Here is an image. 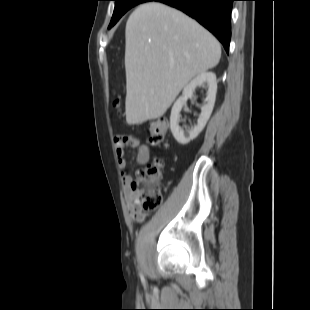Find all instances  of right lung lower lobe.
<instances>
[{
    "instance_id": "1",
    "label": "right lung lower lobe",
    "mask_w": 310,
    "mask_h": 310,
    "mask_svg": "<svg viewBox=\"0 0 310 310\" xmlns=\"http://www.w3.org/2000/svg\"><path fill=\"white\" fill-rule=\"evenodd\" d=\"M165 3L196 19L229 50L231 11L235 0H149Z\"/></svg>"
}]
</instances>
